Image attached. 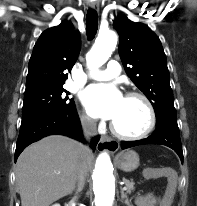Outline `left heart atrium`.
<instances>
[{
  "mask_svg": "<svg viewBox=\"0 0 197 206\" xmlns=\"http://www.w3.org/2000/svg\"><path fill=\"white\" fill-rule=\"evenodd\" d=\"M82 100L92 116L114 120L120 111L123 96L114 85L98 84L89 86Z\"/></svg>",
  "mask_w": 197,
  "mask_h": 206,
  "instance_id": "obj_1",
  "label": "left heart atrium"
}]
</instances>
